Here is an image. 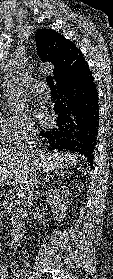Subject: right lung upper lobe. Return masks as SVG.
I'll use <instances>...</instances> for the list:
<instances>
[{
  "label": "right lung upper lobe",
  "instance_id": "obj_1",
  "mask_svg": "<svg viewBox=\"0 0 113 279\" xmlns=\"http://www.w3.org/2000/svg\"><path fill=\"white\" fill-rule=\"evenodd\" d=\"M35 39L40 59L54 65L57 84L76 76L87 65L80 49L56 31L41 29Z\"/></svg>",
  "mask_w": 113,
  "mask_h": 279
}]
</instances>
